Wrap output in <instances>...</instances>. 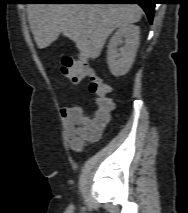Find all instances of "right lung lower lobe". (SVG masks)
Masks as SVG:
<instances>
[{"instance_id":"right-lung-lower-lobe-1","label":"right lung lower lobe","mask_w":188,"mask_h":213,"mask_svg":"<svg viewBox=\"0 0 188 213\" xmlns=\"http://www.w3.org/2000/svg\"><path fill=\"white\" fill-rule=\"evenodd\" d=\"M76 3H130L139 4L146 12L150 23L153 20L154 7L157 0H70Z\"/></svg>"}]
</instances>
